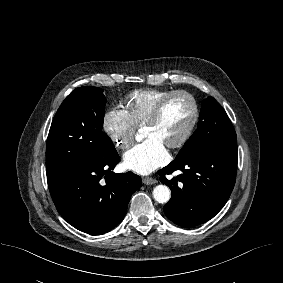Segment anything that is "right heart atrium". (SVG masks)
Here are the masks:
<instances>
[{"label":"right heart atrium","instance_id":"right-heart-atrium-1","mask_svg":"<svg viewBox=\"0 0 283 283\" xmlns=\"http://www.w3.org/2000/svg\"><path fill=\"white\" fill-rule=\"evenodd\" d=\"M103 129L119 150L130 148L134 142L136 127L124 110L111 108L103 116Z\"/></svg>","mask_w":283,"mask_h":283}]
</instances>
